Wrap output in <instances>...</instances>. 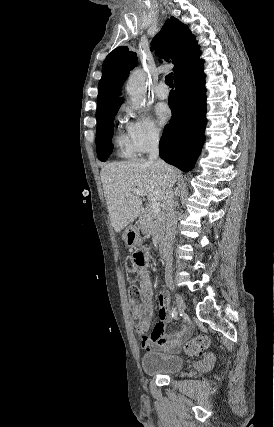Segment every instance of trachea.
<instances>
[{"instance_id": "3493384b", "label": "trachea", "mask_w": 274, "mask_h": 427, "mask_svg": "<svg viewBox=\"0 0 274 427\" xmlns=\"http://www.w3.org/2000/svg\"><path fill=\"white\" fill-rule=\"evenodd\" d=\"M165 83L169 87L174 88V86H173V73H170V74L166 75V77H165Z\"/></svg>"}]
</instances>
